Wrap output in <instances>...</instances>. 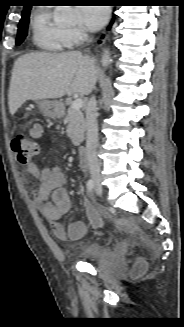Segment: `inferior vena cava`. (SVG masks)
Wrapping results in <instances>:
<instances>
[{"mask_svg":"<svg viewBox=\"0 0 184 327\" xmlns=\"http://www.w3.org/2000/svg\"><path fill=\"white\" fill-rule=\"evenodd\" d=\"M96 98L92 96L86 108V156L92 180L101 181L100 163L97 157L98 124L96 115Z\"/></svg>","mask_w":184,"mask_h":327,"instance_id":"inferior-vena-cava-1","label":"inferior vena cava"}]
</instances>
